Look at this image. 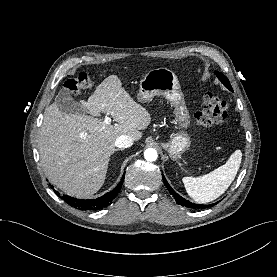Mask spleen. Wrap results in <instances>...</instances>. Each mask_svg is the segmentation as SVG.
<instances>
[{"instance_id": "spleen-1", "label": "spleen", "mask_w": 277, "mask_h": 277, "mask_svg": "<svg viewBox=\"0 0 277 277\" xmlns=\"http://www.w3.org/2000/svg\"><path fill=\"white\" fill-rule=\"evenodd\" d=\"M242 159L240 150H236L228 161L210 173L194 178L182 179L188 195L198 203H207L221 196L233 182Z\"/></svg>"}]
</instances>
